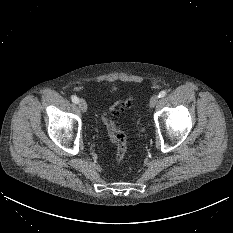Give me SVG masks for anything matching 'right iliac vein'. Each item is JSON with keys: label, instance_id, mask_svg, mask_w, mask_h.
<instances>
[{"label": "right iliac vein", "instance_id": "63e3f726", "mask_svg": "<svg viewBox=\"0 0 233 233\" xmlns=\"http://www.w3.org/2000/svg\"><path fill=\"white\" fill-rule=\"evenodd\" d=\"M80 110L84 113L87 111V103L84 99H80L78 102Z\"/></svg>", "mask_w": 233, "mask_h": 233}]
</instances>
